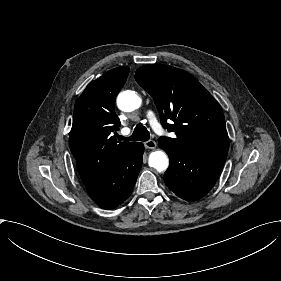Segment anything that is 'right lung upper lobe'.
<instances>
[{
  "mask_svg": "<svg viewBox=\"0 0 281 281\" xmlns=\"http://www.w3.org/2000/svg\"><path fill=\"white\" fill-rule=\"evenodd\" d=\"M129 67H118L89 83L74 107L69 147L81 180L88 181L113 168L136 142H118L113 134L120 121L115 99Z\"/></svg>",
  "mask_w": 281,
  "mask_h": 281,
  "instance_id": "obj_1",
  "label": "right lung upper lobe"
}]
</instances>
